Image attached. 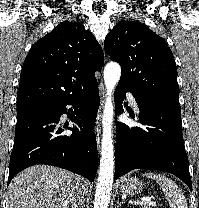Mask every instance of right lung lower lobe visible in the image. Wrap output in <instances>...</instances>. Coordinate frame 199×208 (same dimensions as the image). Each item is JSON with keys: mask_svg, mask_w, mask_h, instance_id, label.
Returning <instances> with one entry per match:
<instances>
[{"mask_svg": "<svg viewBox=\"0 0 199 208\" xmlns=\"http://www.w3.org/2000/svg\"><path fill=\"white\" fill-rule=\"evenodd\" d=\"M100 99L97 81L76 94L17 112L15 140L10 156L8 183L21 170L47 164L93 180L98 165L94 126ZM72 105L74 111L67 109ZM62 114L74 122L71 135L59 123Z\"/></svg>", "mask_w": 199, "mask_h": 208, "instance_id": "1", "label": "right lung lower lobe"}]
</instances>
